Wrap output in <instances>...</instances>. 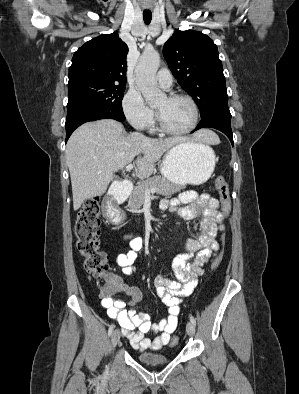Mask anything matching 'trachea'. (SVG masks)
Here are the masks:
<instances>
[{"instance_id": "trachea-1", "label": "trachea", "mask_w": 299, "mask_h": 394, "mask_svg": "<svg viewBox=\"0 0 299 394\" xmlns=\"http://www.w3.org/2000/svg\"><path fill=\"white\" fill-rule=\"evenodd\" d=\"M152 19L151 11H144L143 12V20L146 25H149Z\"/></svg>"}]
</instances>
